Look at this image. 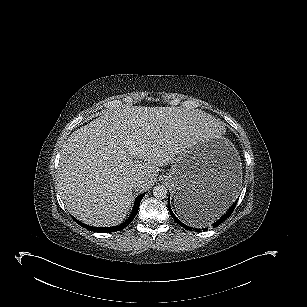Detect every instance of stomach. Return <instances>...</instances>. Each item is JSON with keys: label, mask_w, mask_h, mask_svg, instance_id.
<instances>
[{"label": "stomach", "mask_w": 307, "mask_h": 307, "mask_svg": "<svg viewBox=\"0 0 307 307\" xmlns=\"http://www.w3.org/2000/svg\"><path fill=\"white\" fill-rule=\"evenodd\" d=\"M164 180L183 219L209 208H226L241 190L240 156L226 138L197 140L179 152Z\"/></svg>", "instance_id": "0dacf381"}]
</instances>
